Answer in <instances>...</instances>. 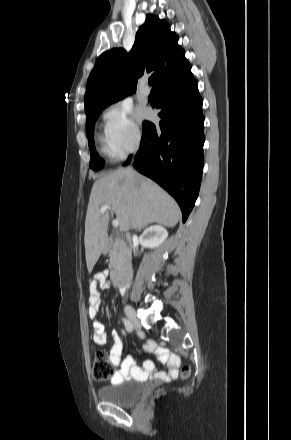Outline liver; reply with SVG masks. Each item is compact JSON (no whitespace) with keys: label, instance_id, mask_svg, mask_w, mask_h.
<instances>
[{"label":"liver","instance_id":"obj_1","mask_svg":"<svg viewBox=\"0 0 291 440\" xmlns=\"http://www.w3.org/2000/svg\"><path fill=\"white\" fill-rule=\"evenodd\" d=\"M112 207L121 232L158 223L174 227L181 216L176 201L151 179L132 169H118L93 184L86 220L85 252L91 272L107 245L109 213L100 207Z\"/></svg>","mask_w":291,"mask_h":440}]
</instances>
